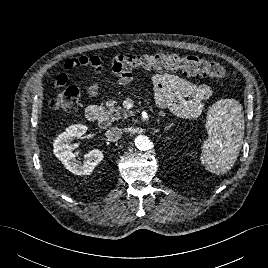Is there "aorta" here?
Wrapping results in <instances>:
<instances>
[{"label": "aorta", "mask_w": 268, "mask_h": 268, "mask_svg": "<svg viewBox=\"0 0 268 268\" xmlns=\"http://www.w3.org/2000/svg\"><path fill=\"white\" fill-rule=\"evenodd\" d=\"M135 146L139 149V150H147L150 147V140L147 136L145 135H138L135 138Z\"/></svg>", "instance_id": "1"}]
</instances>
